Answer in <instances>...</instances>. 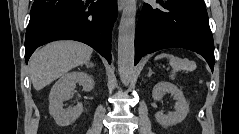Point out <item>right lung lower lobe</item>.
I'll return each mask as SVG.
<instances>
[{"label": "right lung lower lobe", "instance_id": "1", "mask_svg": "<svg viewBox=\"0 0 239 134\" xmlns=\"http://www.w3.org/2000/svg\"><path fill=\"white\" fill-rule=\"evenodd\" d=\"M116 15V0H35L26 31V63L39 46L64 39L88 44L110 63Z\"/></svg>", "mask_w": 239, "mask_h": 134}]
</instances>
